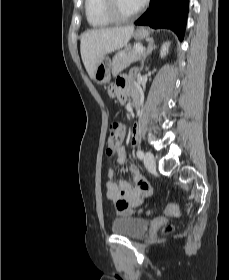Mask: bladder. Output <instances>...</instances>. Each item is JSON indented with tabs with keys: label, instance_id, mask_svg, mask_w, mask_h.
Here are the masks:
<instances>
[{
	"label": "bladder",
	"instance_id": "obj_1",
	"mask_svg": "<svg viewBox=\"0 0 229 280\" xmlns=\"http://www.w3.org/2000/svg\"><path fill=\"white\" fill-rule=\"evenodd\" d=\"M149 229V223L146 219L134 216L117 218L111 226V230L116 235L132 239L142 238Z\"/></svg>",
	"mask_w": 229,
	"mask_h": 280
}]
</instances>
